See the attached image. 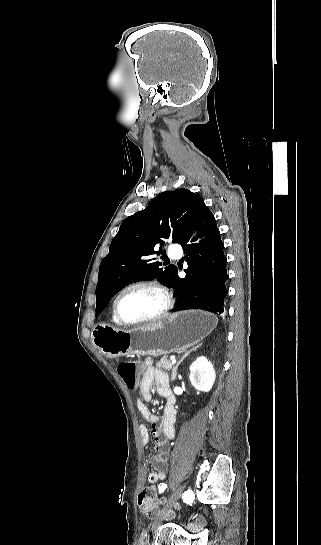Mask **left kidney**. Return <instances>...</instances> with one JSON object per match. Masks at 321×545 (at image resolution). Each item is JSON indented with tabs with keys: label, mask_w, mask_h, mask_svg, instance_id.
Listing matches in <instances>:
<instances>
[{
	"label": "left kidney",
	"mask_w": 321,
	"mask_h": 545,
	"mask_svg": "<svg viewBox=\"0 0 321 545\" xmlns=\"http://www.w3.org/2000/svg\"><path fill=\"white\" fill-rule=\"evenodd\" d=\"M189 369V379L193 387H195L197 391H205V393H208V391L212 389L216 379V373L212 363H210L206 357H198V359L190 365Z\"/></svg>",
	"instance_id": "obj_1"
}]
</instances>
